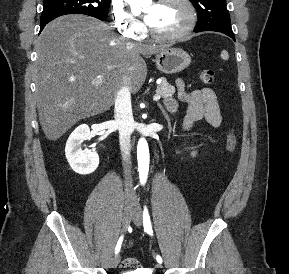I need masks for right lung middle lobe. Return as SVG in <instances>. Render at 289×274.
<instances>
[{
    "label": "right lung middle lobe",
    "mask_w": 289,
    "mask_h": 274,
    "mask_svg": "<svg viewBox=\"0 0 289 274\" xmlns=\"http://www.w3.org/2000/svg\"><path fill=\"white\" fill-rule=\"evenodd\" d=\"M110 0H44L41 20L67 14H84L104 21Z\"/></svg>",
    "instance_id": "1"
}]
</instances>
